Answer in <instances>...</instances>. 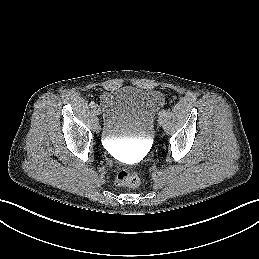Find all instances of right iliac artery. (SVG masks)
Instances as JSON below:
<instances>
[{"label": "right iliac artery", "mask_w": 259, "mask_h": 259, "mask_svg": "<svg viewBox=\"0 0 259 259\" xmlns=\"http://www.w3.org/2000/svg\"><path fill=\"white\" fill-rule=\"evenodd\" d=\"M90 106L92 107V108H94L96 105H95V102H91L90 103Z\"/></svg>", "instance_id": "82829eb1"}]
</instances>
